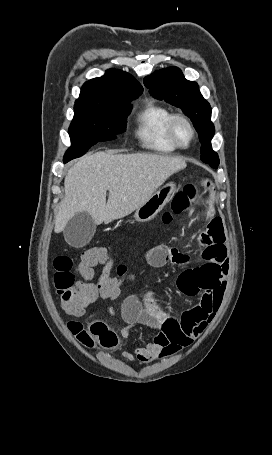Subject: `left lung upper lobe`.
<instances>
[{
	"mask_svg": "<svg viewBox=\"0 0 272 455\" xmlns=\"http://www.w3.org/2000/svg\"><path fill=\"white\" fill-rule=\"evenodd\" d=\"M144 84L153 97L180 107L191 118L202 144L201 160L212 168H218L219 157L211 147L215 133L211 122V107L199 92L198 84L185 79L177 67L154 72L144 78Z\"/></svg>",
	"mask_w": 272,
	"mask_h": 455,
	"instance_id": "left-lung-upper-lobe-1",
	"label": "left lung upper lobe"
}]
</instances>
